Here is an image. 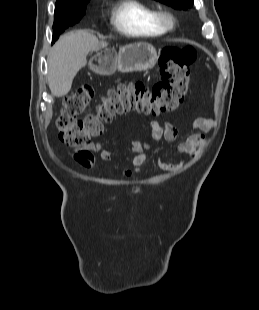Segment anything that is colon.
Listing matches in <instances>:
<instances>
[{
  "label": "colon",
  "mask_w": 259,
  "mask_h": 310,
  "mask_svg": "<svg viewBox=\"0 0 259 310\" xmlns=\"http://www.w3.org/2000/svg\"><path fill=\"white\" fill-rule=\"evenodd\" d=\"M196 57L193 47H164L158 61L159 82L152 87L142 81L119 83L106 93L94 113L84 117L95 90L92 86L75 89L67 97L57 120L61 141L82 148L102 133L105 123L118 115L138 112L156 116L176 109L188 94Z\"/></svg>",
  "instance_id": "colon-1"
}]
</instances>
